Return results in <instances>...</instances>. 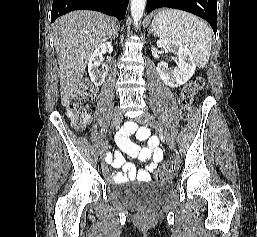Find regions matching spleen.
<instances>
[{"instance_id": "3e777b00", "label": "spleen", "mask_w": 257, "mask_h": 237, "mask_svg": "<svg viewBox=\"0 0 257 237\" xmlns=\"http://www.w3.org/2000/svg\"><path fill=\"white\" fill-rule=\"evenodd\" d=\"M152 28L162 40L185 44L197 67L204 68L207 65L212 33L203 20L183 11L165 9L155 15Z\"/></svg>"}]
</instances>
